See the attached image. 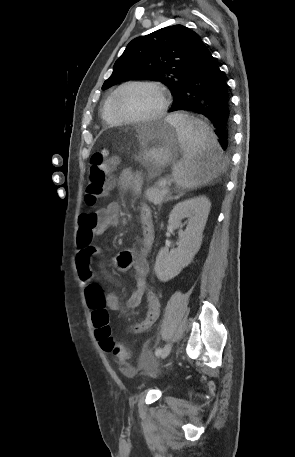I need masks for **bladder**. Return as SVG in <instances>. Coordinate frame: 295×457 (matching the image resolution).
I'll list each match as a JSON object with an SVG mask.
<instances>
[{"instance_id": "obj_1", "label": "bladder", "mask_w": 295, "mask_h": 457, "mask_svg": "<svg viewBox=\"0 0 295 457\" xmlns=\"http://www.w3.org/2000/svg\"><path fill=\"white\" fill-rule=\"evenodd\" d=\"M146 359L147 360H139L138 361V368L139 369H151L152 366L154 368H158L160 366V363L158 361H152L155 359V354L153 352H148L146 354Z\"/></svg>"}]
</instances>
